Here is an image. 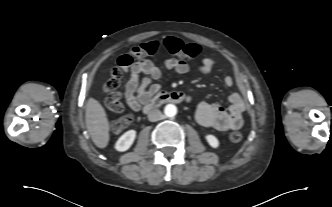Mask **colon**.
Instances as JSON below:
<instances>
[{
    "mask_svg": "<svg viewBox=\"0 0 332 207\" xmlns=\"http://www.w3.org/2000/svg\"><path fill=\"white\" fill-rule=\"evenodd\" d=\"M161 44L167 51L173 55L185 59H194L200 53V47L194 43H185L176 37H167L162 43L159 40H152L136 46L130 52L121 55L118 58L117 65L112 68L109 78L104 82L101 94L106 105L114 112L122 113L124 108L121 103V94L118 91L123 72L130 68L135 60L142 59L145 56L153 55L159 49ZM130 115H122L111 123V129L115 133H119L127 129L131 123ZM229 139L232 142H239L242 135L239 132H231Z\"/></svg>",
    "mask_w": 332,
    "mask_h": 207,
    "instance_id": "5ec220e1",
    "label": "colon"
}]
</instances>
